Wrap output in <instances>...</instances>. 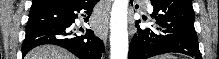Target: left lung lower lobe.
I'll return each instance as SVG.
<instances>
[{
	"label": "left lung lower lobe",
	"mask_w": 219,
	"mask_h": 59,
	"mask_svg": "<svg viewBox=\"0 0 219 59\" xmlns=\"http://www.w3.org/2000/svg\"><path fill=\"white\" fill-rule=\"evenodd\" d=\"M157 30L141 29L129 45L128 59H148L165 53H182L202 59L194 28L192 0H151Z\"/></svg>",
	"instance_id": "1"
}]
</instances>
